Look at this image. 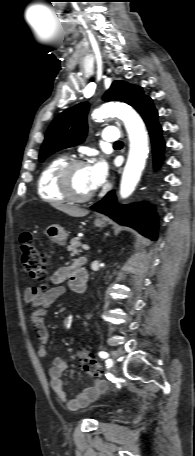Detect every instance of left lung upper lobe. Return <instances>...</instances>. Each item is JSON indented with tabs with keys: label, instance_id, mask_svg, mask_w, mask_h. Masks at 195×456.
I'll use <instances>...</instances> for the list:
<instances>
[{
	"label": "left lung upper lobe",
	"instance_id": "left-lung-upper-lobe-1",
	"mask_svg": "<svg viewBox=\"0 0 195 456\" xmlns=\"http://www.w3.org/2000/svg\"><path fill=\"white\" fill-rule=\"evenodd\" d=\"M149 97L138 86L124 81H114L104 95L105 101H122L136 110ZM88 104L80 103L60 113L50 124L42 144L39 160L43 162L49 155L84 141L87 133L86 115Z\"/></svg>",
	"mask_w": 195,
	"mask_h": 456
}]
</instances>
